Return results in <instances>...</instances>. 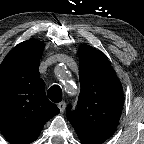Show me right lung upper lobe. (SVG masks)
<instances>
[{
    "mask_svg": "<svg viewBox=\"0 0 144 144\" xmlns=\"http://www.w3.org/2000/svg\"><path fill=\"white\" fill-rule=\"evenodd\" d=\"M43 42L18 44L0 65V130L11 144L35 141L44 124L59 113L45 95L39 62Z\"/></svg>",
    "mask_w": 144,
    "mask_h": 144,
    "instance_id": "cb5924a9",
    "label": "right lung upper lobe"
}]
</instances>
